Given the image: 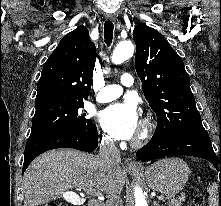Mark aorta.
<instances>
[{
    "mask_svg": "<svg viewBox=\"0 0 221 206\" xmlns=\"http://www.w3.org/2000/svg\"><path fill=\"white\" fill-rule=\"evenodd\" d=\"M134 53V45L130 40H124L118 43L112 54V61L115 64H121L129 59ZM135 206H148L144 193L140 187L134 189Z\"/></svg>",
    "mask_w": 221,
    "mask_h": 206,
    "instance_id": "obj_1",
    "label": "aorta"
}]
</instances>
